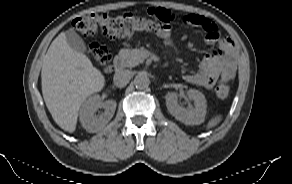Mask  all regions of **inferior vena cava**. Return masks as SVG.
<instances>
[{"instance_id": "1", "label": "inferior vena cava", "mask_w": 292, "mask_h": 184, "mask_svg": "<svg viewBox=\"0 0 292 184\" xmlns=\"http://www.w3.org/2000/svg\"><path fill=\"white\" fill-rule=\"evenodd\" d=\"M131 77L132 74L129 70H122L114 74L113 81L116 86L124 87L129 83Z\"/></svg>"}]
</instances>
